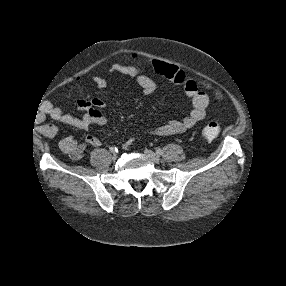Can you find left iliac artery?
<instances>
[{
	"label": "left iliac artery",
	"instance_id": "left-iliac-artery-1",
	"mask_svg": "<svg viewBox=\"0 0 286 286\" xmlns=\"http://www.w3.org/2000/svg\"><path fill=\"white\" fill-rule=\"evenodd\" d=\"M156 153H157L158 155H161V154L163 153V151H162L160 148H158V149L156 150Z\"/></svg>",
	"mask_w": 286,
	"mask_h": 286
}]
</instances>
